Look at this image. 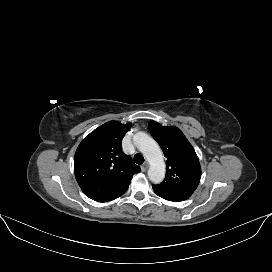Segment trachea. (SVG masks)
<instances>
[{
	"label": "trachea",
	"instance_id": "trachea-1",
	"mask_svg": "<svg viewBox=\"0 0 272 272\" xmlns=\"http://www.w3.org/2000/svg\"><path fill=\"white\" fill-rule=\"evenodd\" d=\"M134 162L137 163V164H142L144 162V157L137 153L134 155Z\"/></svg>",
	"mask_w": 272,
	"mask_h": 272
}]
</instances>
